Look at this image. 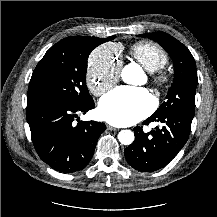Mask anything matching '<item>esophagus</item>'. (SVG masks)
<instances>
[{"instance_id": "obj_1", "label": "esophagus", "mask_w": 217, "mask_h": 217, "mask_svg": "<svg viewBox=\"0 0 217 217\" xmlns=\"http://www.w3.org/2000/svg\"><path fill=\"white\" fill-rule=\"evenodd\" d=\"M107 130L116 131L117 128H115V127H113V126H110V125H107Z\"/></svg>"}]
</instances>
